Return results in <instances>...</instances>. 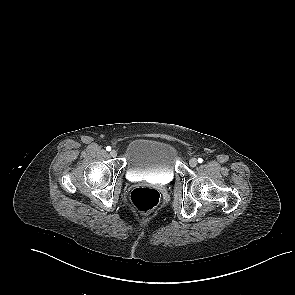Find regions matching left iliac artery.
<instances>
[{"mask_svg":"<svg viewBox=\"0 0 295 295\" xmlns=\"http://www.w3.org/2000/svg\"><path fill=\"white\" fill-rule=\"evenodd\" d=\"M198 162L199 163H202L203 162V159L202 158H198Z\"/></svg>","mask_w":295,"mask_h":295,"instance_id":"44dca946","label":"left iliac artery"}]
</instances>
